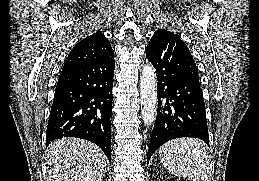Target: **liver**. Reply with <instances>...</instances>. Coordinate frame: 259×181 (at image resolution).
<instances>
[{"label": "liver", "mask_w": 259, "mask_h": 181, "mask_svg": "<svg viewBox=\"0 0 259 181\" xmlns=\"http://www.w3.org/2000/svg\"><path fill=\"white\" fill-rule=\"evenodd\" d=\"M106 160L102 150L87 140H55L46 151L47 181H101Z\"/></svg>", "instance_id": "6515ba94"}]
</instances>
